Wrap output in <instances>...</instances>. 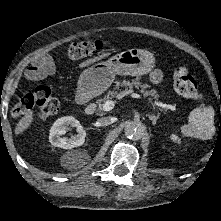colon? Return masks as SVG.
<instances>
[{"label": "colon", "mask_w": 221, "mask_h": 221, "mask_svg": "<svg viewBox=\"0 0 221 221\" xmlns=\"http://www.w3.org/2000/svg\"><path fill=\"white\" fill-rule=\"evenodd\" d=\"M102 46L98 41H77L72 43L66 52L69 59L78 60L89 57L100 51ZM175 90L182 96L194 101L203 99L204 94L187 67H178L174 72ZM33 108H37V115L41 119L54 116L59 109V101L55 98L49 87L38 86L33 92L27 93L20 98L12 109V116L18 118L25 115Z\"/></svg>", "instance_id": "1"}]
</instances>
